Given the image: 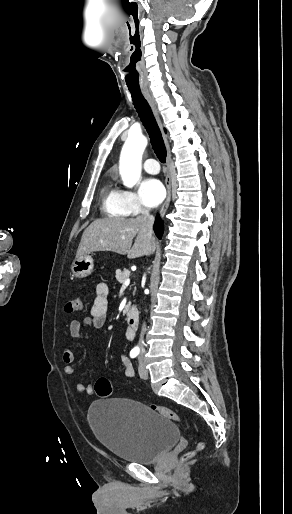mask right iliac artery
I'll return each instance as SVG.
<instances>
[{"instance_id":"1","label":"right iliac artery","mask_w":292,"mask_h":514,"mask_svg":"<svg viewBox=\"0 0 292 514\" xmlns=\"http://www.w3.org/2000/svg\"><path fill=\"white\" fill-rule=\"evenodd\" d=\"M137 355H138V352H137V351L132 350V351L130 352V357H131V358H135Z\"/></svg>"}]
</instances>
